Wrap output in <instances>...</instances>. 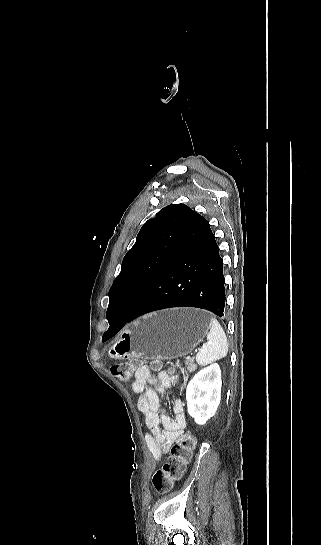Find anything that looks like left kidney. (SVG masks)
I'll return each instance as SVG.
<instances>
[{
    "instance_id": "1",
    "label": "left kidney",
    "mask_w": 321,
    "mask_h": 545,
    "mask_svg": "<svg viewBox=\"0 0 321 545\" xmlns=\"http://www.w3.org/2000/svg\"><path fill=\"white\" fill-rule=\"evenodd\" d=\"M221 371L214 363L199 371L186 389L187 409L197 425H205L214 417L221 401Z\"/></svg>"
}]
</instances>
